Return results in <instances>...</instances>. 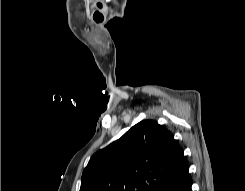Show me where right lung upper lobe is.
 Here are the masks:
<instances>
[{
  "mask_svg": "<svg viewBox=\"0 0 245 191\" xmlns=\"http://www.w3.org/2000/svg\"><path fill=\"white\" fill-rule=\"evenodd\" d=\"M186 170L183 151L170 131L143 120L91 157L80 191H158Z\"/></svg>",
  "mask_w": 245,
  "mask_h": 191,
  "instance_id": "obj_1",
  "label": "right lung upper lobe"
}]
</instances>
